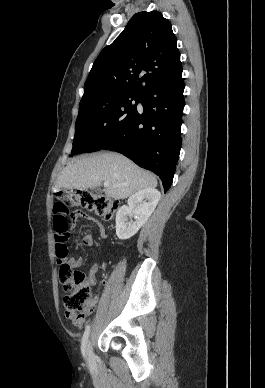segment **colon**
Here are the masks:
<instances>
[{"mask_svg": "<svg viewBox=\"0 0 265 388\" xmlns=\"http://www.w3.org/2000/svg\"><path fill=\"white\" fill-rule=\"evenodd\" d=\"M72 206H81L104 219H111L119 204L110 197L89 191H58L55 194L53 206L55 259L60 265V279L67 291L63 300L65 315L76 325L85 316L91 292L85 274L72 270L66 261L68 257L66 240L70 230L69 208Z\"/></svg>", "mask_w": 265, "mask_h": 388, "instance_id": "5ec220e1", "label": "colon"}]
</instances>
